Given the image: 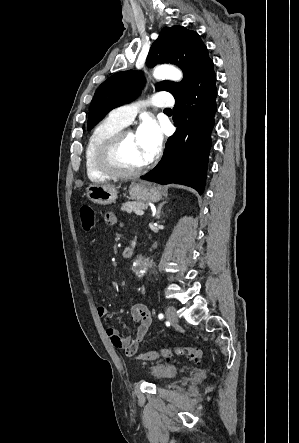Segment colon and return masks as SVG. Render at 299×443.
<instances>
[{
	"mask_svg": "<svg viewBox=\"0 0 299 443\" xmlns=\"http://www.w3.org/2000/svg\"><path fill=\"white\" fill-rule=\"evenodd\" d=\"M79 218L81 227L85 232L93 230L95 227V213L92 207L82 205L79 208ZM172 355L186 356L187 358L195 361H199L203 357L202 351L197 347H172L147 351L140 354L138 356V360H155L159 358H168Z\"/></svg>",
	"mask_w": 299,
	"mask_h": 443,
	"instance_id": "colon-1",
	"label": "colon"
}]
</instances>
